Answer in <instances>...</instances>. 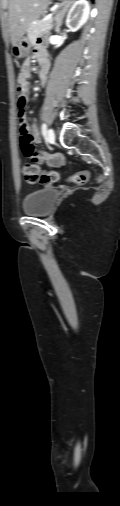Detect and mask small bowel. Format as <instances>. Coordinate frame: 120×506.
Instances as JSON below:
<instances>
[{"label": "small bowel", "mask_w": 120, "mask_h": 506, "mask_svg": "<svg viewBox=\"0 0 120 506\" xmlns=\"http://www.w3.org/2000/svg\"><path fill=\"white\" fill-rule=\"evenodd\" d=\"M33 58H35L39 62L40 65L39 81L42 86H45L47 83V74L49 70V58L46 49L41 44H37L36 47L34 48ZM30 74H31V59H27L23 62L18 76V82H21L23 84L25 91L28 90L27 79L29 78ZM21 131L22 130L20 129V133ZM25 132L30 134L34 138V142L36 145L40 142L38 128L34 125L30 126L27 123V121L25 125ZM30 157H32L33 159H37L41 163H45L50 166H59L63 163V157L60 154L48 155L40 151L38 156H30Z\"/></svg>", "instance_id": "obj_1"}]
</instances>
